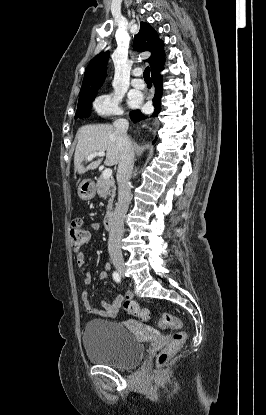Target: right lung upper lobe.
<instances>
[{
    "mask_svg": "<svg viewBox=\"0 0 266 415\" xmlns=\"http://www.w3.org/2000/svg\"><path fill=\"white\" fill-rule=\"evenodd\" d=\"M163 42L158 38L155 30L148 24L141 22L140 31L134 42L137 51H150L151 57L147 60L151 66V74L162 69L164 64ZM109 52H103L94 57L86 68L79 97L97 92L106 76V66Z\"/></svg>",
    "mask_w": 266,
    "mask_h": 415,
    "instance_id": "right-lung-upper-lobe-1",
    "label": "right lung upper lobe"
}]
</instances>
